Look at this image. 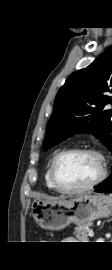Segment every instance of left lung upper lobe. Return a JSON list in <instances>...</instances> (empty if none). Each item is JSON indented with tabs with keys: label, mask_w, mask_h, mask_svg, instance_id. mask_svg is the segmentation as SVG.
I'll use <instances>...</instances> for the list:
<instances>
[{
	"label": "left lung upper lobe",
	"mask_w": 112,
	"mask_h": 270,
	"mask_svg": "<svg viewBox=\"0 0 112 270\" xmlns=\"http://www.w3.org/2000/svg\"><path fill=\"white\" fill-rule=\"evenodd\" d=\"M112 47L85 69L72 73L55 98L43 148L48 150L76 133L86 131L112 151Z\"/></svg>",
	"instance_id": "obj_1"
}]
</instances>
